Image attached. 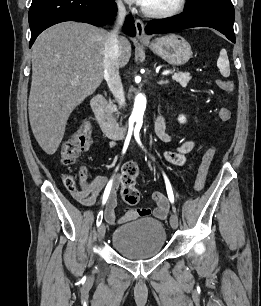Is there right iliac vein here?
I'll return each mask as SVG.
<instances>
[{
	"label": "right iliac vein",
	"mask_w": 261,
	"mask_h": 306,
	"mask_svg": "<svg viewBox=\"0 0 261 306\" xmlns=\"http://www.w3.org/2000/svg\"><path fill=\"white\" fill-rule=\"evenodd\" d=\"M105 232H106V228H105V225L102 223L98 226V229H97V236L99 240L104 238Z\"/></svg>",
	"instance_id": "63e3f726"
}]
</instances>
